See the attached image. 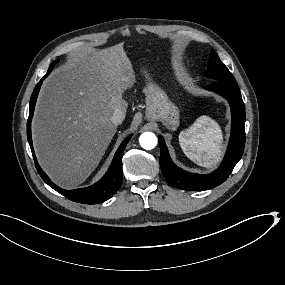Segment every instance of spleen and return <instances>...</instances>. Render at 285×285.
I'll return each mask as SVG.
<instances>
[{
  "label": "spleen",
  "mask_w": 285,
  "mask_h": 285,
  "mask_svg": "<svg viewBox=\"0 0 285 285\" xmlns=\"http://www.w3.org/2000/svg\"><path fill=\"white\" fill-rule=\"evenodd\" d=\"M222 140L218 123L206 115L200 116L179 134V143L185 155L206 168H211L220 160Z\"/></svg>",
  "instance_id": "obj_1"
}]
</instances>
